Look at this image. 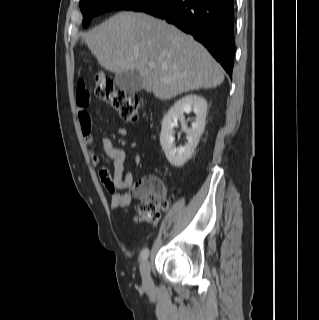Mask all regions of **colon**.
Segmentation results:
<instances>
[{
	"instance_id": "1",
	"label": "colon",
	"mask_w": 319,
	"mask_h": 320,
	"mask_svg": "<svg viewBox=\"0 0 319 320\" xmlns=\"http://www.w3.org/2000/svg\"><path fill=\"white\" fill-rule=\"evenodd\" d=\"M96 96L115 108L126 123L139 119V108L143 99L137 94H127L115 87L113 79L106 73L95 75ZM136 194L142 198L138 209V220L157 223L161 211L166 207L165 192L161 182L154 176L140 180L135 186Z\"/></svg>"
}]
</instances>
